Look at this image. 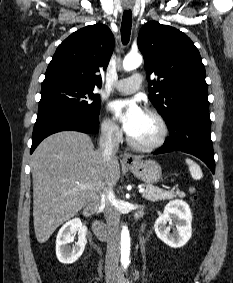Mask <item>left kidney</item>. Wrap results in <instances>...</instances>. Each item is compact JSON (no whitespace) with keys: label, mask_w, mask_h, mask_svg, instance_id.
Masks as SVG:
<instances>
[{"label":"left kidney","mask_w":233,"mask_h":283,"mask_svg":"<svg viewBox=\"0 0 233 283\" xmlns=\"http://www.w3.org/2000/svg\"><path fill=\"white\" fill-rule=\"evenodd\" d=\"M192 213L189 205L182 200L169 202L164 212L156 220L154 229L160 240L172 248L183 247L192 236ZM176 227V231L170 233V226Z\"/></svg>","instance_id":"left-kidney-1"}]
</instances>
